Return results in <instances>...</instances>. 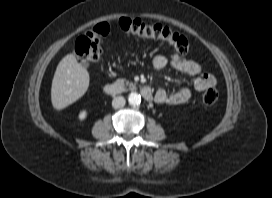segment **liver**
I'll use <instances>...</instances> for the list:
<instances>
[{"mask_svg":"<svg viewBox=\"0 0 272 198\" xmlns=\"http://www.w3.org/2000/svg\"><path fill=\"white\" fill-rule=\"evenodd\" d=\"M89 73L73 54L66 55L58 64L51 87V102L61 110L81 98L89 86Z\"/></svg>","mask_w":272,"mask_h":198,"instance_id":"obj_1","label":"liver"}]
</instances>
